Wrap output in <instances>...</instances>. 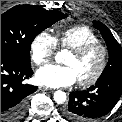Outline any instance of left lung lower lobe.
I'll use <instances>...</instances> for the list:
<instances>
[{
	"instance_id": "left-lung-lower-lobe-1",
	"label": "left lung lower lobe",
	"mask_w": 122,
	"mask_h": 122,
	"mask_svg": "<svg viewBox=\"0 0 122 122\" xmlns=\"http://www.w3.org/2000/svg\"><path fill=\"white\" fill-rule=\"evenodd\" d=\"M122 94V77L98 80L86 91L71 92L63 109L66 118L88 122L108 114Z\"/></svg>"
}]
</instances>
